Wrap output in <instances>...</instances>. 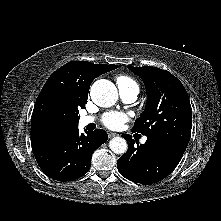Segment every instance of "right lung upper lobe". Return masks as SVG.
Returning <instances> with one entry per match:
<instances>
[{
	"label": "right lung upper lobe",
	"mask_w": 221,
	"mask_h": 221,
	"mask_svg": "<svg viewBox=\"0 0 221 221\" xmlns=\"http://www.w3.org/2000/svg\"><path fill=\"white\" fill-rule=\"evenodd\" d=\"M118 65L71 61L56 70L37 97L31 119L32 148L51 142L78 127L92 81Z\"/></svg>",
	"instance_id": "right-lung-upper-lobe-1"
}]
</instances>
